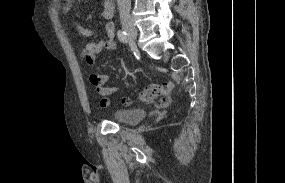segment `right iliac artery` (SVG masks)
<instances>
[{
  "instance_id": "1",
  "label": "right iliac artery",
  "mask_w": 285,
  "mask_h": 183,
  "mask_svg": "<svg viewBox=\"0 0 285 183\" xmlns=\"http://www.w3.org/2000/svg\"><path fill=\"white\" fill-rule=\"evenodd\" d=\"M117 36H118V39L122 42V43H127L128 42V35L125 31L123 30H119L117 32Z\"/></svg>"
}]
</instances>
